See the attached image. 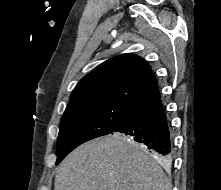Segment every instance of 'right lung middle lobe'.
Returning a JSON list of instances; mask_svg holds the SVG:
<instances>
[{
	"mask_svg": "<svg viewBox=\"0 0 221 190\" xmlns=\"http://www.w3.org/2000/svg\"><path fill=\"white\" fill-rule=\"evenodd\" d=\"M134 108L116 102H92L67 107L57 140V162L80 144L112 133Z\"/></svg>",
	"mask_w": 221,
	"mask_h": 190,
	"instance_id": "obj_1",
	"label": "right lung middle lobe"
}]
</instances>
